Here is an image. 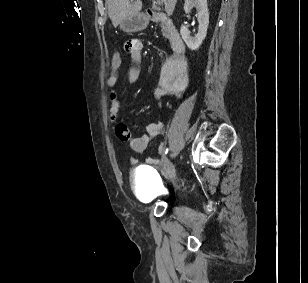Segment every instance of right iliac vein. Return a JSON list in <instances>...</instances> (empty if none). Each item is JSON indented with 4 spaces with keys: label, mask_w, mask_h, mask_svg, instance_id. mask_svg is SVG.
Returning a JSON list of instances; mask_svg holds the SVG:
<instances>
[{
    "label": "right iliac vein",
    "mask_w": 308,
    "mask_h": 283,
    "mask_svg": "<svg viewBox=\"0 0 308 283\" xmlns=\"http://www.w3.org/2000/svg\"><path fill=\"white\" fill-rule=\"evenodd\" d=\"M175 155H176V153H175V152H173L172 157H174Z\"/></svg>",
    "instance_id": "right-iliac-vein-1"
}]
</instances>
